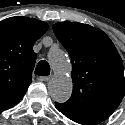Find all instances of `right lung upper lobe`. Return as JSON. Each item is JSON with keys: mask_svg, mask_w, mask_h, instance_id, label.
Segmentation results:
<instances>
[{"mask_svg": "<svg viewBox=\"0 0 125 125\" xmlns=\"http://www.w3.org/2000/svg\"><path fill=\"white\" fill-rule=\"evenodd\" d=\"M48 30L46 22L11 17L0 21V112L16 105L32 82L33 44Z\"/></svg>", "mask_w": 125, "mask_h": 125, "instance_id": "right-lung-upper-lobe-1", "label": "right lung upper lobe"}]
</instances>
